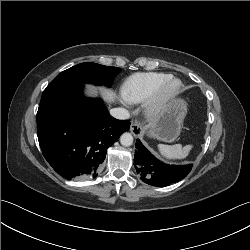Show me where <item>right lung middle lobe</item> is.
<instances>
[{
	"instance_id": "right-lung-middle-lobe-1",
	"label": "right lung middle lobe",
	"mask_w": 250,
	"mask_h": 250,
	"mask_svg": "<svg viewBox=\"0 0 250 250\" xmlns=\"http://www.w3.org/2000/svg\"><path fill=\"white\" fill-rule=\"evenodd\" d=\"M120 72V68L103 66L97 63L85 62L73 66L55 77L44 90L40 103L56 95L60 90L92 83L110 86L113 78Z\"/></svg>"
}]
</instances>
